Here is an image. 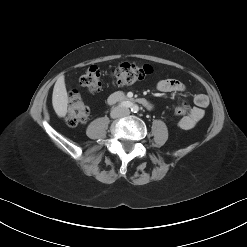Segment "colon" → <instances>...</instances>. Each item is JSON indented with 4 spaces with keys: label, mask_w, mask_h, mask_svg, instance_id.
Masks as SVG:
<instances>
[{
    "label": "colon",
    "mask_w": 247,
    "mask_h": 247,
    "mask_svg": "<svg viewBox=\"0 0 247 247\" xmlns=\"http://www.w3.org/2000/svg\"><path fill=\"white\" fill-rule=\"evenodd\" d=\"M152 73L149 65H138L134 63H121L110 71L112 84L116 86H129ZM104 73L97 67L91 66L80 77V85L92 92L100 91L103 86ZM189 106L183 104L174 111L178 117L184 116L188 112ZM89 110L81 95L77 90L69 92V106L65 115V121L69 126H77L87 120Z\"/></svg>",
    "instance_id": "1"
}]
</instances>
